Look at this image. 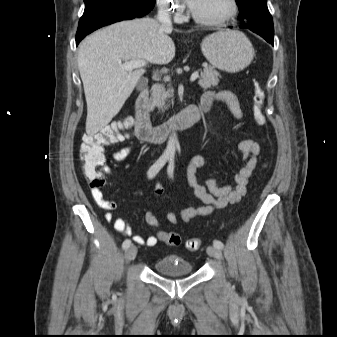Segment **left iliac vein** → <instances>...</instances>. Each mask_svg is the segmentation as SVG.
I'll return each instance as SVG.
<instances>
[{
  "label": "left iliac vein",
  "instance_id": "4c4485c4",
  "mask_svg": "<svg viewBox=\"0 0 337 337\" xmlns=\"http://www.w3.org/2000/svg\"><path fill=\"white\" fill-rule=\"evenodd\" d=\"M207 253L208 255L218 259V260H221L222 259V252L220 249L214 247V246H209L207 248Z\"/></svg>",
  "mask_w": 337,
  "mask_h": 337
}]
</instances>
